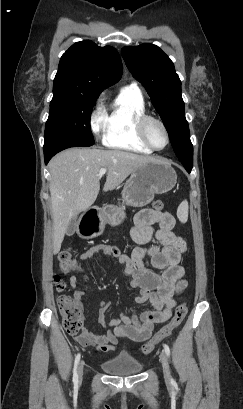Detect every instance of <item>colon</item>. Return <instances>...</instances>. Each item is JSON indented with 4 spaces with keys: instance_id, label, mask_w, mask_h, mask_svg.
Listing matches in <instances>:
<instances>
[{
    "instance_id": "colon-1",
    "label": "colon",
    "mask_w": 243,
    "mask_h": 409,
    "mask_svg": "<svg viewBox=\"0 0 243 409\" xmlns=\"http://www.w3.org/2000/svg\"><path fill=\"white\" fill-rule=\"evenodd\" d=\"M152 208L157 211L161 210L163 208L162 201H155ZM58 268L60 272L64 274H72L79 270V267L69 249L62 251L59 254ZM55 282L58 290H63L65 288V284L61 281L58 275L55 277ZM58 309L63 328L70 334L78 333L83 325V318L78 301L74 300L70 296H60L58 299ZM187 312V304L182 303L178 305L172 319L166 325H164L151 340L143 345L142 352L144 354L151 353L159 342L169 337L173 331L181 325L182 321L187 315Z\"/></svg>"
}]
</instances>
